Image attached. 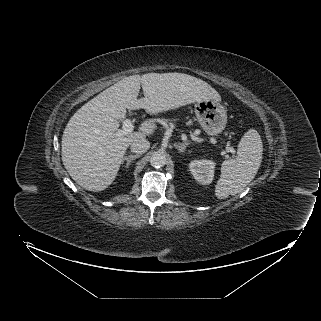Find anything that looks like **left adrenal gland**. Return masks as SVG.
<instances>
[{
    "instance_id": "a2214340",
    "label": "left adrenal gland",
    "mask_w": 321,
    "mask_h": 321,
    "mask_svg": "<svg viewBox=\"0 0 321 321\" xmlns=\"http://www.w3.org/2000/svg\"><path fill=\"white\" fill-rule=\"evenodd\" d=\"M189 142L185 143H176L174 146L177 148L181 153H183L186 150V147L189 145Z\"/></svg>"
}]
</instances>
